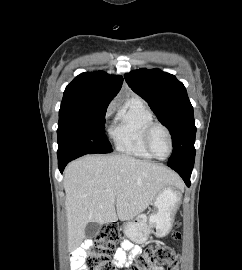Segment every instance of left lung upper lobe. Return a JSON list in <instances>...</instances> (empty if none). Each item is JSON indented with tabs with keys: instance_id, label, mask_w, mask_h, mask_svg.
Here are the masks:
<instances>
[{
	"instance_id": "left-lung-upper-lobe-1",
	"label": "left lung upper lobe",
	"mask_w": 242,
	"mask_h": 270,
	"mask_svg": "<svg viewBox=\"0 0 242 270\" xmlns=\"http://www.w3.org/2000/svg\"><path fill=\"white\" fill-rule=\"evenodd\" d=\"M131 89L145 99L172 135L173 152L169 166L194 165L196 127L193 107L183 83L159 69H139L125 74Z\"/></svg>"
}]
</instances>
